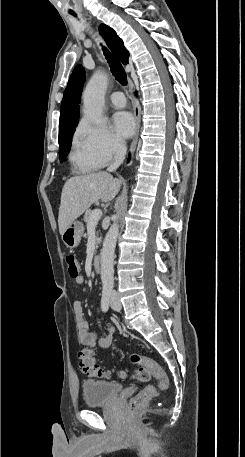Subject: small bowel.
<instances>
[{
    "mask_svg": "<svg viewBox=\"0 0 245 457\" xmlns=\"http://www.w3.org/2000/svg\"><path fill=\"white\" fill-rule=\"evenodd\" d=\"M76 282L81 283L83 276L79 275L75 278ZM73 316L77 328V336L79 341L89 347H99L102 349L110 347L113 341L115 329L113 326H108L105 333L98 337L89 328V323L85 318L82 303L79 300L73 303Z\"/></svg>",
    "mask_w": 245,
    "mask_h": 457,
    "instance_id": "c3829d8e",
    "label": "small bowel"
}]
</instances>
